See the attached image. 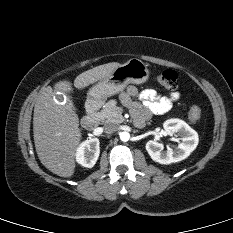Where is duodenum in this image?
I'll return each instance as SVG.
<instances>
[{
	"label": "duodenum",
	"instance_id": "duodenum-1",
	"mask_svg": "<svg viewBox=\"0 0 233 233\" xmlns=\"http://www.w3.org/2000/svg\"><path fill=\"white\" fill-rule=\"evenodd\" d=\"M102 105L101 99H91L86 105V113L81 119V125L87 129H93L97 124V113Z\"/></svg>",
	"mask_w": 233,
	"mask_h": 233
}]
</instances>
